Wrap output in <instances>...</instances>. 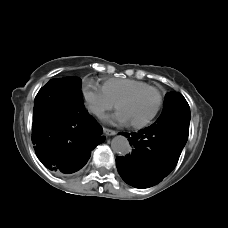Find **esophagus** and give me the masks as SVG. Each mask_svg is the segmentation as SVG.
<instances>
[{"instance_id":"obj_1","label":"esophagus","mask_w":228,"mask_h":228,"mask_svg":"<svg viewBox=\"0 0 228 228\" xmlns=\"http://www.w3.org/2000/svg\"><path fill=\"white\" fill-rule=\"evenodd\" d=\"M103 131L108 136H112V135H115L116 134V131L111 130V129H108V128H103Z\"/></svg>"}]
</instances>
